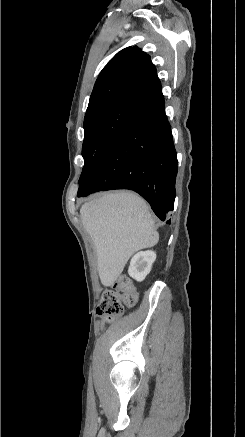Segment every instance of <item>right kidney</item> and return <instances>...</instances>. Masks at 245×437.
Segmentation results:
<instances>
[{
  "label": "right kidney",
  "instance_id": "right-kidney-1",
  "mask_svg": "<svg viewBox=\"0 0 245 437\" xmlns=\"http://www.w3.org/2000/svg\"><path fill=\"white\" fill-rule=\"evenodd\" d=\"M156 259L154 251L139 252L131 259L128 273L137 281H143L149 274Z\"/></svg>",
  "mask_w": 245,
  "mask_h": 437
}]
</instances>
